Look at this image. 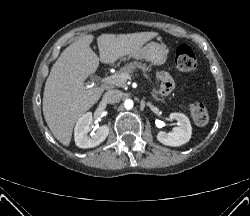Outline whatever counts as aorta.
I'll use <instances>...</instances> for the list:
<instances>
[{
	"mask_svg": "<svg viewBox=\"0 0 250 216\" xmlns=\"http://www.w3.org/2000/svg\"><path fill=\"white\" fill-rule=\"evenodd\" d=\"M133 105H134V103H133V101L131 99H127L124 102V106L128 110L131 109V108H133Z\"/></svg>",
	"mask_w": 250,
	"mask_h": 216,
	"instance_id": "1",
	"label": "aorta"
}]
</instances>
